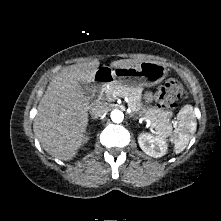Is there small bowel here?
I'll list each match as a JSON object with an SVG mask.
<instances>
[{"mask_svg": "<svg viewBox=\"0 0 221 221\" xmlns=\"http://www.w3.org/2000/svg\"><path fill=\"white\" fill-rule=\"evenodd\" d=\"M145 97H146V99H147L148 101H151V100H152V94H151V93H147Z\"/></svg>", "mask_w": 221, "mask_h": 221, "instance_id": "c3829d8e", "label": "small bowel"}]
</instances>
